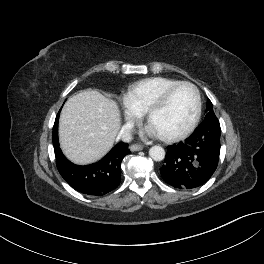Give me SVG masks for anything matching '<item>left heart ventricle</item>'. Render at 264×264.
<instances>
[{
    "label": "left heart ventricle",
    "mask_w": 264,
    "mask_h": 264,
    "mask_svg": "<svg viewBox=\"0 0 264 264\" xmlns=\"http://www.w3.org/2000/svg\"><path fill=\"white\" fill-rule=\"evenodd\" d=\"M196 108V97L189 86L178 87L167 104L151 117L150 127L159 135L182 131L191 121Z\"/></svg>",
    "instance_id": "1"
}]
</instances>
